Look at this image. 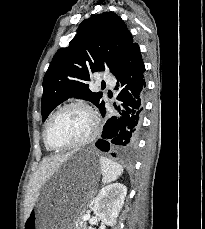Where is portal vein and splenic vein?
<instances>
[{"label": "portal vein and splenic vein", "mask_w": 205, "mask_h": 229, "mask_svg": "<svg viewBox=\"0 0 205 229\" xmlns=\"http://www.w3.org/2000/svg\"><path fill=\"white\" fill-rule=\"evenodd\" d=\"M88 217V215L83 216V220H86Z\"/></svg>", "instance_id": "portal-vein-and-splenic-vein-1"}]
</instances>
